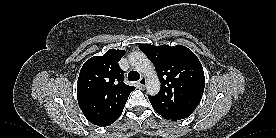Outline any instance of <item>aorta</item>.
<instances>
[{"mask_svg":"<svg viewBox=\"0 0 276 138\" xmlns=\"http://www.w3.org/2000/svg\"><path fill=\"white\" fill-rule=\"evenodd\" d=\"M130 65L139 73L147 77L146 90L149 95H156L160 91V80L152 62L143 52H133L129 56Z\"/></svg>","mask_w":276,"mask_h":138,"instance_id":"obj_1","label":"aorta"}]
</instances>
